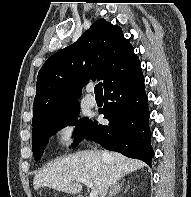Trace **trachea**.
Wrapping results in <instances>:
<instances>
[{
	"mask_svg": "<svg viewBox=\"0 0 191 197\" xmlns=\"http://www.w3.org/2000/svg\"><path fill=\"white\" fill-rule=\"evenodd\" d=\"M95 94H103L102 83H98L94 88Z\"/></svg>",
	"mask_w": 191,
	"mask_h": 197,
	"instance_id": "3493384b",
	"label": "trachea"
}]
</instances>
